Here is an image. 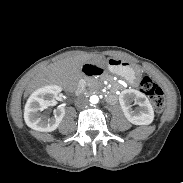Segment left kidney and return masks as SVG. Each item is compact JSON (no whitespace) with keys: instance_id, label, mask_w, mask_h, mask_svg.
<instances>
[{"instance_id":"obj_1","label":"left kidney","mask_w":183,"mask_h":183,"mask_svg":"<svg viewBox=\"0 0 183 183\" xmlns=\"http://www.w3.org/2000/svg\"><path fill=\"white\" fill-rule=\"evenodd\" d=\"M134 101L138 108L133 110L131 103ZM119 103L125 117L134 125H149L154 120L152 105L146 96L138 90L126 89L119 95Z\"/></svg>"}]
</instances>
